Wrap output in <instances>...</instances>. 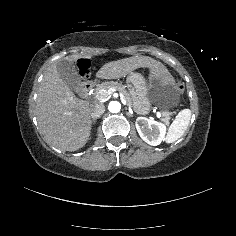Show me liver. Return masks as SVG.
I'll return each mask as SVG.
<instances>
[{
    "label": "liver",
    "instance_id": "6515ba94",
    "mask_svg": "<svg viewBox=\"0 0 236 236\" xmlns=\"http://www.w3.org/2000/svg\"><path fill=\"white\" fill-rule=\"evenodd\" d=\"M79 58L81 55L78 54L65 57L70 61ZM141 67H149L152 72L164 71L163 64L149 56H133L104 64L96 77L117 79ZM90 113V103L76 98L60 78L56 63L51 64L40 83L36 99L37 120L46 140L65 151L82 148L90 136Z\"/></svg>",
    "mask_w": 236,
    "mask_h": 236
}]
</instances>
